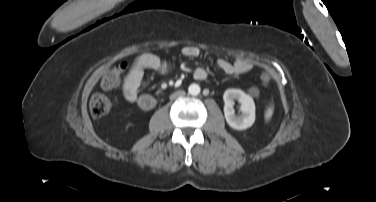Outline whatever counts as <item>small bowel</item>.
Segmentation results:
<instances>
[{
	"instance_id": "small-bowel-1",
	"label": "small bowel",
	"mask_w": 376,
	"mask_h": 202,
	"mask_svg": "<svg viewBox=\"0 0 376 202\" xmlns=\"http://www.w3.org/2000/svg\"><path fill=\"white\" fill-rule=\"evenodd\" d=\"M181 53L186 58H196L199 56L200 50L195 46H185L182 48ZM216 65L221 72L227 75L244 74L252 68V64L244 59H238L233 63L220 59L217 61ZM146 69L154 70L160 74H167L170 71V66L155 54H140L134 60L133 65L123 82V95L128 102H136L139 96V88L144 77V71ZM192 75L195 79L200 81H205L209 77L208 71L200 67L195 68Z\"/></svg>"
}]
</instances>
